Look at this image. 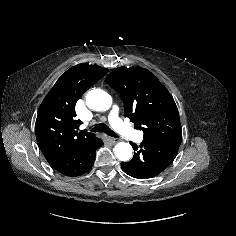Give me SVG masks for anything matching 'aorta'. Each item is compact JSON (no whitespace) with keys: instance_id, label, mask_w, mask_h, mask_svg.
<instances>
[{"instance_id":"762f6f07","label":"aorta","mask_w":236,"mask_h":236,"mask_svg":"<svg viewBox=\"0 0 236 236\" xmlns=\"http://www.w3.org/2000/svg\"><path fill=\"white\" fill-rule=\"evenodd\" d=\"M86 104L92 110L104 111L110 108L112 98L107 92L94 89L86 95ZM114 153L119 160L128 161L132 157V147L129 143L119 142L114 147Z\"/></svg>"}]
</instances>
